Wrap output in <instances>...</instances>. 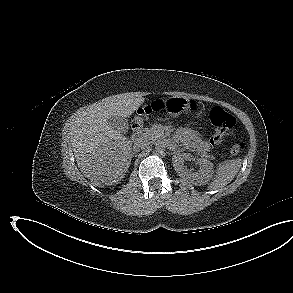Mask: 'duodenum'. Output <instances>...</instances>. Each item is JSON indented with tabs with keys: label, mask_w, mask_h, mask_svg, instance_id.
I'll return each mask as SVG.
<instances>
[{
	"label": "duodenum",
	"mask_w": 293,
	"mask_h": 293,
	"mask_svg": "<svg viewBox=\"0 0 293 293\" xmlns=\"http://www.w3.org/2000/svg\"><path fill=\"white\" fill-rule=\"evenodd\" d=\"M132 140H133L134 144H139L142 142V140H143L142 128L138 127L136 129L135 133L133 134Z\"/></svg>",
	"instance_id": "duodenum-1"
}]
</instances>
